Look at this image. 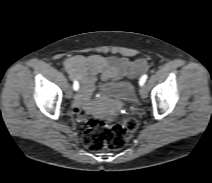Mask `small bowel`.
<instances>
[{"label":"small bowel","instance_id":"small-bowel-1","mask_svg":"<svg viewBox=\"0 0 212 183\" xmlns=\"http://www.w3.org/2000/svg\"><path fill=\"white\" fill-rule=\"evenodd\" d=\"M64 69L80 82V91L73 105L79 108L87 104L94 84L100 75L102 81H116L125 78L135 79L148 69L143 58L129 60L119 56L75 55L64 59Z\"/></svg>","mask_w":212,"mask_h":183}]
</instances>
